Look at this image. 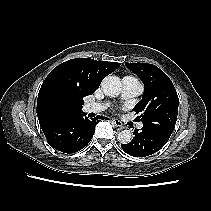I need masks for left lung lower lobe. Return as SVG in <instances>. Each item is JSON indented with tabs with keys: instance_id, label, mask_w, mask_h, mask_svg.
<instances>
[{
	"instance_id": "obj_1",
	"label": "left lung lower lobe",
	"mask_w": 211,
	"mask_h": 211,
	"mask_svg": "<svg viewBox=\"0 0 211 211\" xmlns=\"http://www.w3.org/2000/svg\"><path fill=\"white\" fill-rule=\"evenodd\" d=\"M134 138L128 144H121V148L131 156L146 157L159 151L166 143L167 139L147 130L136 129Z\"/></svg>"
}]
</instances>
